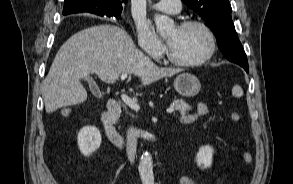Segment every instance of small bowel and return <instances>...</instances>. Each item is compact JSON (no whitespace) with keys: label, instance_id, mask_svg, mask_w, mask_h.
<instances>
[{"label":"small bowel","instance_id":"c3829d8e","mask_svg":"<svg viewBox=\"0 0 293 184\" xmlns=\"http://www.w3.org/2000/svg\"><path fill=\"white\" fill-rule=\"evenodd\" d=\"M207 113V107L203 103H199L197 106V111L195 114L186 115L182 118V121L185 123H190L194 121L198 116H203ZM181 184H195L194 180L189 176H183L180 179Z\"/></svg>","mask_w":293,"mask_h":184}]
</instances>
